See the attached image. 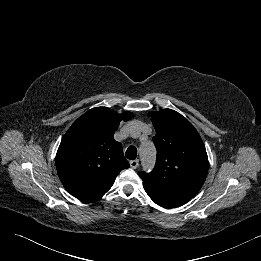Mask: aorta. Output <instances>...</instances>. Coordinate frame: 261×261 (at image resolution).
<instances>
[{"label": "aorta", "mask_w": 261, "mask_h": 261, "mask_svg": "<svg viewBox=\"0 0 261 261\" xmlns=\"http://www.w3.org/2000/svg\"><path fill=\"white\" fill-rule=\"evenodd\" d=\"M139 154L143 167L150 170L154 165L156 156V149L154 145L151 142H145L141 144Z\"/></svg>", "instance_id": "obj_1"}]
</instances>
